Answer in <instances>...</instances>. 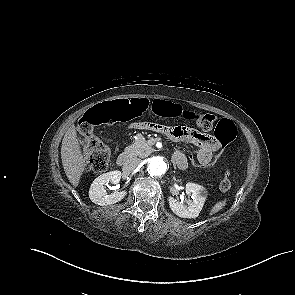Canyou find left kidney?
<instances>
[{
  "label": "left kidney",
  "mask_w": 295,
  "mask_h": 295,
  "mask_svg": "<svg viewBox=\"0 0 295 295\" xmlns=\"http://www.w3.org/2000/svg\"><path fill=\"white\" fill-rule=\"evenodd\" d=\"M185 191L191 195L192 199L178 201L173 197H169V206L174 214L181 218H196L201 212L207 197V190L198 184L187 183Z\"/></svg>",
  "instance_id": "obj_1"
}]
</instances>
